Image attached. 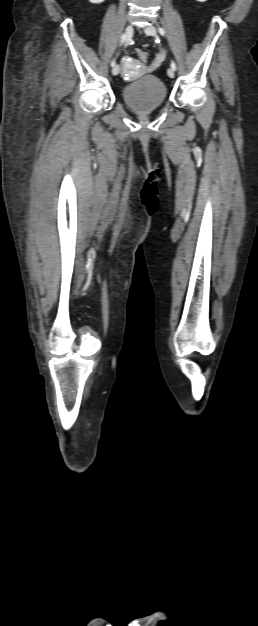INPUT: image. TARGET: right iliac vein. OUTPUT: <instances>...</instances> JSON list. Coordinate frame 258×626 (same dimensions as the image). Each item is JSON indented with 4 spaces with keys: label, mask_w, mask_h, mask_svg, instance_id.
<instances>
[{
    "label": "right iliac vein",
    "mask_w": 258,
    "mask_h": 626,
    "mask_svg": "<svg viewBox=\"0 0 258 626\" xmlns=\"http://www.w3.org/2000/svg\"><path fill=\"white\" fill-rule=\"evenodd\" d=\"M133 32H134V29H133V26H132V25H128V26L125 28L124 35H125V42H126V43H128V42L130 41V39H131V37H132V35H133ZM119 72H120V67H119V65H116V66L112 69V74H113V75H118V73H119Z\"/></svg>",
    "instance_id": "obj_1"
}]
</instances>
